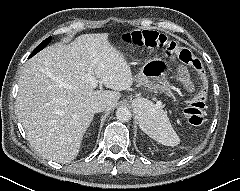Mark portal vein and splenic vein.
Wrapping results in <instances>:
<instances>
[{"label":"portal vein and splenic vein","instance_id":"18ae733b","mask_svg":"<svg viewBox=\"0 0 240 191\" xmlns=\"http://www.w3.org/2000/svg\"><path fill=\"white\" fill-rule=\"evenodd\" d=\"M86 79L90 82L91 88L97 87V81L90 75H86Z\"/></svg>","mask_w":240,"mask_h":191}]
</instances>
